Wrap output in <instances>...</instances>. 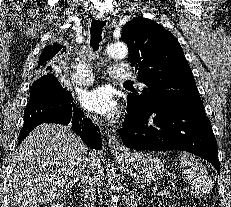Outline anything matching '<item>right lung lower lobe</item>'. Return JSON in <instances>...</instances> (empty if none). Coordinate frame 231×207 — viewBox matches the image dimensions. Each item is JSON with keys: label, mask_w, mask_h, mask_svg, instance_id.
I'll use <instances>...</instances> for the list:
<instances>
[{"label": "right lung lower lobe", "mask_w": 231, "mask_h": 207, "mask_svg": "<svg viewBox=\"0 0 231 207\" xmlns=\"http://www.w3.org/2000/svg\"><path fill=\"white\" fill-rule=\"evenodd\" d=\"M71 124L72 130L79 134L85 144L93 149H101L102 139L99 128L84 118L76 107L71 93L66 91L54 75L43 76L30 88V101L25 108L24 124L19 143L39 124Z\"/></svg>", "instance_id": "right-lung-lower-lobe-1"}]
</instances>
